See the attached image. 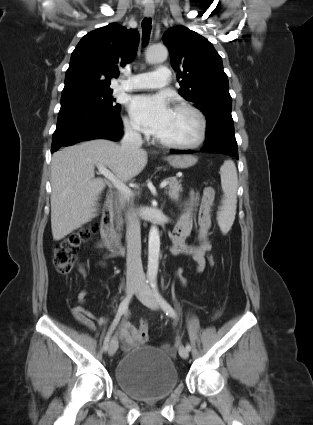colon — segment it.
Wrapping results in <instances>:
<instances>
[{
  "label": "colon",
  "mask_w": 313,
  "mask_h": 425,
  "mask_svg": "<svg viewBox=\"0 0 313 425\" xmlns=\"http://www.w3.org/2000/svg\"><path fill=\"white\" fill-rule=\"evenodd\" d=\"M96 226L91 225L84 227L76 232L63 238L59 244L53 249V263L56 270L61 274H68L76 261L77 251L86 243L95 233ZM210 266L215 264V257L208 256ZM189 284V278L186 271L179 268L176 271V285L178 288H184ZM217 316V315H216ZM138 340L146 343L148 340V324L143 322L138 330Z\"/></svg>",
  "instance_id": "5ec220e1"
}]
</instances>
